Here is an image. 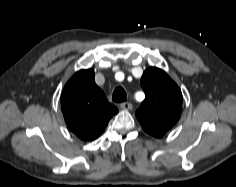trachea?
I'll return each instance as SVG.
<instances>
[{"instance_id":"trachea-1","label":"trachea","mask_w":236,"mask_h":187,"mask_svg":"<svg viewBox=\"0 0 236 187\" xmlns=\"http://www.w3.org/2000/svg\"><path fill=\"white\" fill-rule=\"evenodd\" d=\"M126 99H127V95L124 88L121 86L117 87L113 92L112 100L114 102L120 103V102L126 101Z\"/></svg>"}]
</instances>
